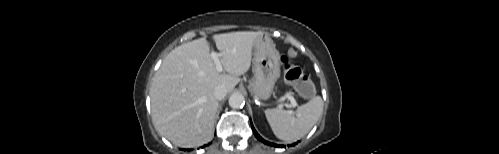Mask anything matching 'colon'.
I'll list each match as a JSON object with an SVG mask.
<instances>
[{
  "label": "colon",
  "instance_id": "colon-1",
  "mask_svg": "<svg viewBox=\"0 0 499 154\" xmlns=\"http://www.w3.org/2000/svg\"><path fill=\"white\" fill-rule=\"evenodd\" d=\"M282 65L286 80L304 97L310 98L315 93V87L309 77L287 57H282Z\"/></svg>",
  "mask_w": 499,
  "mask_h": 154
}]
</instances>
